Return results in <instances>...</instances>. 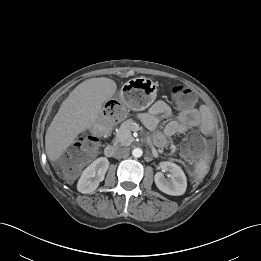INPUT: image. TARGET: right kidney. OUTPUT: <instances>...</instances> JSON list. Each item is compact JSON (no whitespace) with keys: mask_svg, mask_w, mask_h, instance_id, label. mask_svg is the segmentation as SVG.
Instances as JSON below:
<instances>
[{"mask_svg":"<svg viewBox=\"0 0 261 261\" xmlns=\"http://www.w3.org/2000/svg\"><path fill=\"white\" fill-rule=\"evenodd\" d=\"M109 168L106 157H100L93 161L83 172L77 183V190L83 194L95 191L99 183L104 180Z\"/></svg>","mask_w":261,"mask_h":261,"instance_id":"right-kidney-1","label":"right kidney"}]
</instances>
